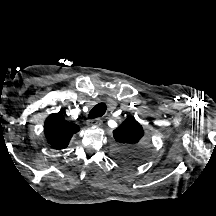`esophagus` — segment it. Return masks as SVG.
I'll list each match as a JSON object with an SVG mask.
<instances>
[{
  "label": "esophagus",
  "instance_id": "esophagus-1",
  "mask_svg": "<svg viewBox=\"0 0 216 216\" xmlns=\"http://www.w3.org/2000/svg\"><path fill=\"white\" fill-rule=\"evenodd\" d=\"M102 123V119L101 118H96V119H92V120H88L87 121V125L88 126H100Z\"/></svg>",
  "mask_w": 216,
  "mask_h": 216
}]
</instances>
